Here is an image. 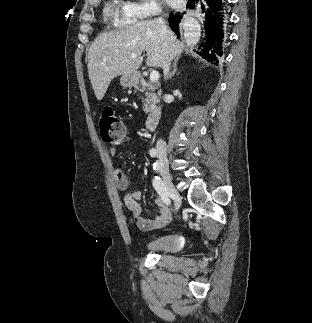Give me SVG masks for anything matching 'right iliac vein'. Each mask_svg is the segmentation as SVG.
<instances>
[{
    "label": "right iliac vein",
    "instance_id": "obj_1",
    "mask_svg": "<svg viewBox=\"0 0 312 323\" xmlns=\"http://www.w3.org/2000/svg\"><path fill=\"white\" fill-rule=\"evenodd\" d=\"M159 171H160V174L162 176L163 184H164V186H165V188H166V190L168 192V195L175 200L176 210L178 211L179 206H180V201H181V195L177 191V189L175 188V186H174V184L172 182V179H171V176H170V173H169V170H168V166L166 164L161 165L159 167Z\"/></svg>",
    "mask_w": 312,
    "mask_h": 323
}]
</instances>
